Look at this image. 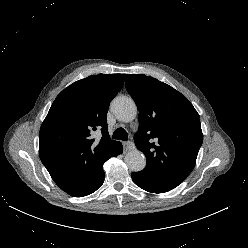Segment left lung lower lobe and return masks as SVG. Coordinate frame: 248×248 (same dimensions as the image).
<instances>
[{"instance_id":"0a47b994","label":"left lung lower lobe","mask_w":248,"mask_h":248,"mask_svg":"<svg viewBox=\"0 0 248 248\" xmlns=\"http://www.w3.org/2000/svg\"><path fill=\"white\" fill-rule=\"evenodd\" d=\"M132 180L140 188L144 189L150 193H164L170 191L171 189L154 185L150 182V179L143 172H133L131 174Z\"/></svg>"}]
</instances>
